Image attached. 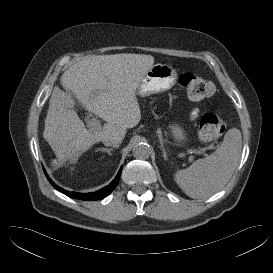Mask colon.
Listing matches in <instances>:
<instances>
[{
  "instance_id": "obj_1",
  "label": "colon",
  "mask_w": 273,
  "mask_h": 273,
  "mask_svg": "<svg viewBox=\"0 0 273 273\" xmlns=\"http://www.w3.org/2000/svg\"><path fill=\"white\" fill-rule=\"evenodd\" d=\"M179 84L193 100L209 98L215 91L214 84L203 77L191 73L179 76ZM225 131L224 121L213 113H206L201 117L199 137L205 142L217 141Z\"/></svg>"
}]
</instances>
